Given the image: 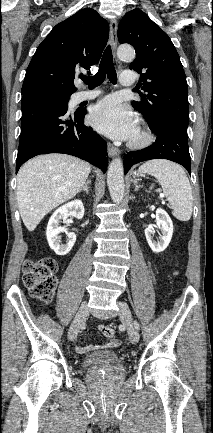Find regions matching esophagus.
Instances as JSON below:
<instances>
[{"mask_svg": "<svg viewBox=\"0 0 213 433\" xmlns=\"http://www.w3.org/2000/svg\"><path fill=\"white\" fill-rule=\"evenodd\" d=\"M117 26L118 21L116 19H112L110 21V42L113 51H115L117 47ZM108 154L110 157H115L120 154V150L113 146L111 143H108Z\"/></svg>", "mask_w": 213, "mask_h": 433, "instance_id": "esophagus-1", "label": "esophagus"}]
</instances>
